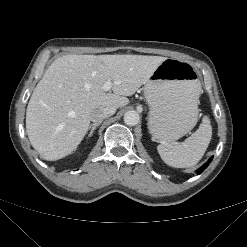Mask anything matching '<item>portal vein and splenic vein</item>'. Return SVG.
Wrapping results in <instances>:
<instances>
[{
	"instance_id": "portal-vein-and-splenic-vein-1",
	"label": "portal vein and splenic vein",
	"mask_w": 247,
	"mask_h": 247,
	"mask_svg": "<svg viewBox=\"0 0 247 247\" xmlns=\"http://www.w3.org/2000/svg\"><path fill=\"white\" fill-rule=\"evenodd\" d=\"M111 85H112V83L110 81L105 82V84L103 86L105 91H109L111 89Z\"/></svg>"
}]
</instances>
